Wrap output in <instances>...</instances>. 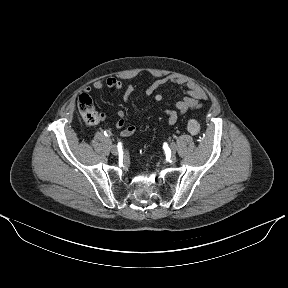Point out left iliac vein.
<instances>
[{
    "instance_id": "left-iliac-vein-1",
    "label": "left iliac vein",
    "mask_w": 288,
    "mask_h": 288,
    "mask_svg": "<svg viewBox=\"0 0 288 288\" xmlns=\"http://www.w3.org/2000/svg\"><path fill=\"white\" fill-rule=\"evenodd\" d=\"M170 147H171L172 153L174 154L176 152V150H177L176 144L174 143L173 145H170Z\"/></svg>"
}]
</instances>
